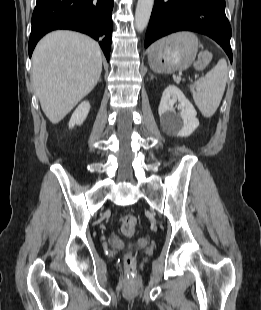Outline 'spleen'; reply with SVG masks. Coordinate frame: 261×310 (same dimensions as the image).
<instances>
[{"label":"spleen","mask_w":261,"mask_h":310,"mask_svg":"<svg viewBox=\"0 0 261 310\" xmlns=\"http://www.w3.org/2000/svg\"><path fill=\"white\" fill-rule=\"evenodd\" d=\"M227 78V62L220 59L211 71L190 87L193 100L204 117L210 118L215 114L222 100Z\"/></svg>","instance_id":"1"}]
</instances>
